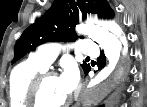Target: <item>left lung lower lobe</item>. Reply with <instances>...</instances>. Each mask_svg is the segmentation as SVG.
I'll use <instances>...</instances> for the list:
<instances>
[{
    "label": "left lung lower lobe",
    "mask_w": 147,
    "mask_h": 107,
    "mask_svg": "<svg viewBox=\"0 0 147 107\" xmlns=\"http://www.w3.org/2000/svg\"><path fill=\"white\" fill-rule=\"evenodd\" d=\"M106 64V58L105 55L103 53H101L100 57L98 58V67L99 69L103 68ZM91 70V67L85 71V74H88L89 71ZM103 107V106H100Z\"/></svg>",
    "instance_id": "obj_1"
}]
</instances>
